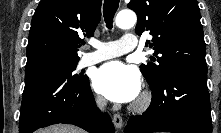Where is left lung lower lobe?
Returning a JSON list of instances; mask_svg holds the SVG:
<instances>
[{
    "label": "left lung lower lobe",
    "mask_w": 221,
    "mask_h": 133,
    "mask_svg": "<svg viewBox=\"0 0 221 133\" xmlns=\"http://www.w3.org/2000/svg\"><path fill=\"white\" fill-rule=\"evenodd\" d=\"M152 90V103L130 117L125 133H212L207 72L177 69Z\"/></svg>",
    "instance_id": "left-lung-lower-lobe-1"
}]
</instances>
